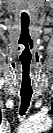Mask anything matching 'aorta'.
<instances>
[{"label":"aorta","mask_w":53,"mask_h":133,"mask_svg":"<svg viewBox=\"0 0 53 133\" xmlns=\"http://www.w3.org/2000/svg\"><path fill=\"white\" fill-rule=\"evenodd\" d=\"M51 125V119L48 116L37 115L29 118L23 124V130L29 132H38L48 128Z\"/></svg>","instance_id":"762f6f07"}]
</instances>
